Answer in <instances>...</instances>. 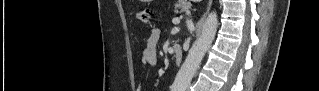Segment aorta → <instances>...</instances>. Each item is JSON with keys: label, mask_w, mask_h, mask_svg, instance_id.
<instances>
[{"label": "aorta", "mask_w": 319, "mask_h": 91, "mask_svg": "<svg viewBox=\"0 0 319 91\" xmlns=\"http://www.w3.org/2000/svg\"><path fill=\"white\" fill-rule=\"evenodd\" d=\"M218 27L216 12H211L202 27V33L192 45L188 56L178 71L174 83L173 91H185L191 83L202 59L211 46Z\"/></svg>", "instance_id": "762f6f07"}]
</instances>
